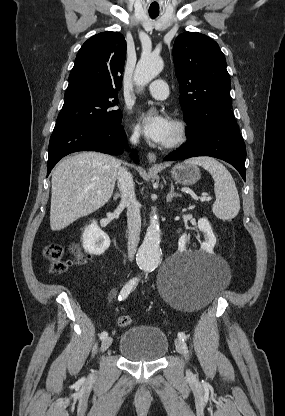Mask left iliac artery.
<instances>
[{"mask_svg":"<svg viewBox=\"0 0 285 416\" xmlns=\"http://www.w3.org/2000/svg\"><path fill=\"white\" fill-rule=\"evenodd\" d=\"M178 337H179L181 340H183V341H186V340H187V336H186V334H185L184 332H179V333H178Z\"/></svg>","mask_w":285,"mask_h":416,"instance_id":"1","label":"left iliac artery"}]
</instances>
